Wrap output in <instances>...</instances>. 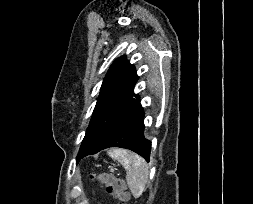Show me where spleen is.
Returning a JSON list of instances; mask_svg holds the SVG:
<instances>
[{
  "label": "spleen",
  "instance_id": "obj_1",
  "mask_svg": "<svg viewBox=\"0 0 253 204\" xmlns=\"http://www.w3.org/2000/svg\"><path fill=\"white\" fill-rule=\"evenodd\" d=\"M109 156L119 161L126 169V181L135 198H139L148 181L149 169L147 162L136 153L114 148Z\"/></svg>",
  "mask_w": 253,
  "mask_h": 204
}]
</instances>
